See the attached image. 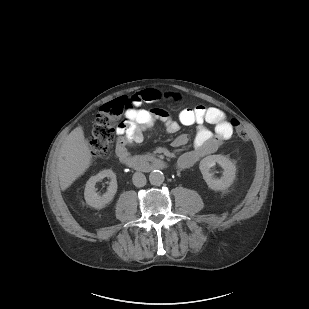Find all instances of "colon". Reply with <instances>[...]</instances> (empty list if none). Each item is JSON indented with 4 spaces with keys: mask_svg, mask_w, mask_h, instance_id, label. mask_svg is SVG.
Listing matches in <instances>:
<instances>
[{
    "mask_svg": "<svg viewBox=\"0 0 309 309\" xmlns=\"http://www.w3.org/2000/svg\"><path fill=\"white\" fill-rule=\"evenodd\" d=\"M128 106V99L123 97L101 106L95 118L89 140L92 159L103 158L110 153L118 129L125 124V120H121V117ZM234 126L238 137L247 141L249 139L248 133L237 123H234Z\"/></svg>",
    "mask_w": 309,
    "mask_h": 309,
    "instance_id": "5ec220e1",
    "label": "colon"
}]
</instances>
